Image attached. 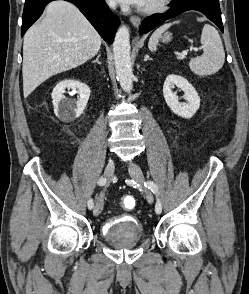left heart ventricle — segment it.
<instances>
[{
	"label": "left heart ventricle",
	"instance_id": "1",
	"mask_svg": "<svg viewBox=\"0 0 249 294\" xmlns=\"http://www.w3.org/2000/svg\"><path fill=\"white\" fill-rule=\"evenodd\" d=\"M157 1H159V0H146L145 4L143 6L144 7L149 6V5H151V4H153V3L157 2Z\"/></svg>",
	"mask_w": 249,
	"mask_h": 294
}]
</instances>
